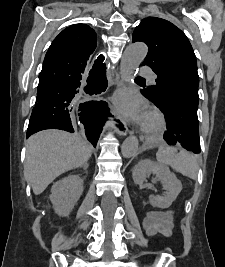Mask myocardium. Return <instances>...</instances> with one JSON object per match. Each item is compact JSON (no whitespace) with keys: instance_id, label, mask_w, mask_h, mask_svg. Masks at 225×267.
<instances>
[{"instance_id":"obj_1","label":"myocardium","mask_w":225,"mask_h":267,"mask_svg":"<svg viewBox=\"0 0 225 267\" xmlns=\"http://www.w3.org/2000/svg\"><path fill=\"white\" fill-rule=\"evenodd\" d=\"M147 118L151 120V123H144L142 125V131L148 135L160 134L166 127V120L164 115L156 109L149 111Z\"/></svg>"}]
</instances>
